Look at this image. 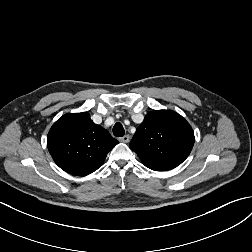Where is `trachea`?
<instances>
[{
  "label": "trachea",
  "mask_w": 252,
  "mask_h": 252,
  "mask_svg": "<svg viewBox=\"0 0 252 252\" xmlns=\"http://www.w3.org/2000/svg\"><path fill=\"white\" fill-rule=\"evenodd\" d=\"M113 134L116 137H122L125 134L124 127L121 123L117 122L113 127Z\"/></svg>",
  "instance_id": "obj_1"
}]
</instances>
